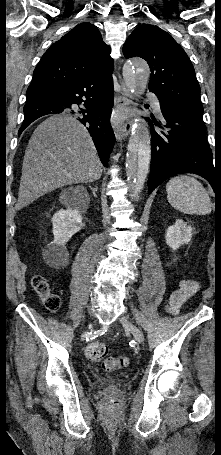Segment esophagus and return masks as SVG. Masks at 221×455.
I'll return each instance as SVG.
<instances>
[{
	"mask_svg": "<svg viewBox=\"0 0 221 455\" xmlns=\"http://www.w3.org/2000/svg\"><path fill=\"white\" fill-rule=\"evenodd\" d=\"M120 78V92L115 97V106L117 109L126 108L128 109L131 104L130 93L122 80ZM132 130V121L129 117H126L124 122H117L115 127V135L119 142L124 141Z\"/></svg>",
	"mask_w": 221,
	"mask_h": 455,
	"instance_id": "esophagus-1",
	"label": "esophagus"
}]
</instances>
